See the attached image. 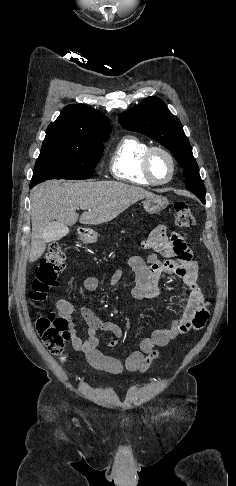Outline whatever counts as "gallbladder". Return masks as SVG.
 <instances>
[{"label": "gallbladder", "mask_w": 236, "mask_h": 486, "mask_svg": "<svg viewBox=\"0 0 236 486\" xmlns=\"http://www.w3.org/2000/svg\"><path fill=\"white\" fill-rule=\"evenodd\" d=\"M47 233L49 235V241H57L65 235L66 225L58 221H52L48 226Z\"/></svg>", "instance_id": "bac80fb5"}]
</instances>
